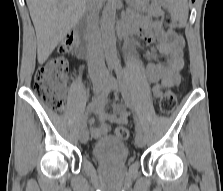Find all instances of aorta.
<instances>
[{
  "label": "aorta",
  "mask_w": 223,
  "mask_h": 191,
  "mask_svg": "<svg viewBox=\"0 0 223 191\" xmlns=\"http://www.w3.org/2000/svg\"><path fill=\"white\" fill-rule=\"evenodd\" d=\"M115 16V0H108V2L103 8L101 18L102 47L104 49L108 65L118 64L116 38L114 30Z\"/></svg>",
  "instance_id": "aorta-1"
}]
</instances>
